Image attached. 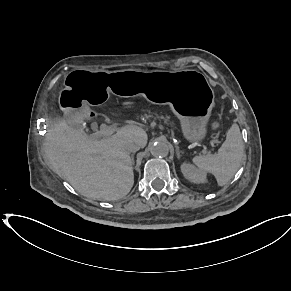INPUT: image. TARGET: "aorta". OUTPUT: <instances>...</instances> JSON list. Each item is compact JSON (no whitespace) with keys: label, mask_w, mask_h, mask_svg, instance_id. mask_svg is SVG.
<instances>
[{"label":"aorta","mask_w":291,"mask_h":291,"mask_svg":"<svg viewBox=\"0 0 291 291\" xmlns=\"http://www.w3.org/2000/svg\"><path fill=\"white\" fill-rule=\"evenodd\" d=\"M150 152L154 157H166L169 154V147L164 142H155L151 146Z\"/></svg>","instance_id":"762f6f07"}]
</instances>
